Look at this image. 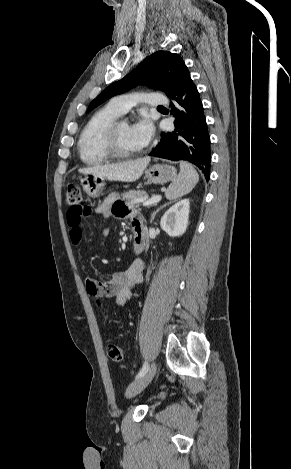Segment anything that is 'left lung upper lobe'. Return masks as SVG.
<instances>
[{
    "label": "left lung upper lobe",
    "mask_w": 291,
    "mask_h": 469,
    "mask_svg": "<svg viewBox=\"0 0 291 469\" xmlns=\"http://www.w3.org/2000/svg\"><path fill=\"white\" fill-rule=\"evenodd\" d=\"M187 71L188 69L179 55L167 51H158L147 57L134 71L123 79L104 89L90 103L88 111L110 97L129 90L138 83L158 87L169 96Z\"/></svg>",
    "instance_id": "5c2ea615"
}]
</instances>
